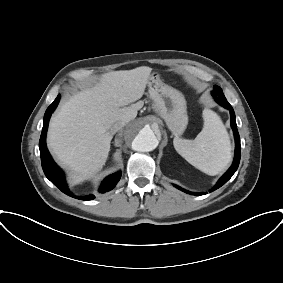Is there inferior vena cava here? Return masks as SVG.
Returning <instances> with one entry per match:
<instances>
[{"label":"inferior vena cava","instance_id":"inferior-vena-cava-1","mask_svg":"<svg viewBox=\"0 0 283 283\" xmlns=\"http://www.w3.org/2000/svg\"><path fill=\"white\" fill-rule=\"evenodd\" d=\"M124 126L123 122H116L114 123L111 128H110V133L111 134H115L117 131H119L120 129H122V127Z\"/></svg>","mask_w":283,"mask_h":283}]
</instances>
